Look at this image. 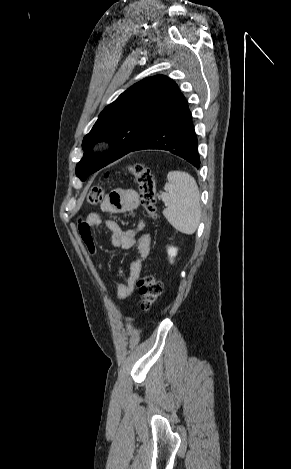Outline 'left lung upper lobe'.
I'll list each match as a JSON object with an SVG mask.
<instances>
[{"instance_id": "left-lung-upper-lobe-1", "label": "left lung upper lobe", "mask_w": 291, "mask_h": 469, "mask_svg": "<svg viewBox=\"0 0 291 469\" xmlns=\"http://www.w3.org/2000/svg\"><path fill=\"white\" fill-rule=\"evenodd\" d=\"M184 98L177 84L163 75L147 77L131 86L100 113L84 137L85 154L76 166V175L84 181L122 157L162 123ZM100 141L112 142L113 148L101 159H95L91 147Z\"/></svg>"}]
</instances>
